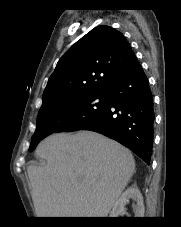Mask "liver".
Here are the masks:
<instances>
[{
    "mask_svg": "<svg viewBox=\"0 0 181 227\" xmlns=\"http://www.w3.org/2000/svg\"><path fill=\"white\" fill-rule=\"evenodd\" d=\"M28 175L38 217H106L135 171L131 152L101 134L79 131L44 139Z\"/></svg>",
    "mask_w": 181,
    "mask_h": 227,
    "instance_id": "6515ba94",
    "label": "liver"
}]
</instances>
